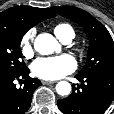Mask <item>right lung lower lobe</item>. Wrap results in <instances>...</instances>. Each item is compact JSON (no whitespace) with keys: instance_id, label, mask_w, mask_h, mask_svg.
Masks as SVG:
<instances>
[{"instance_id":"obj_1","label":"right lung lower lobe","mask_w":114,"mask_h":114,"mask_svg":"<svg viewBox=\"0 0 114 114\" xmlns=\"http://www.w3.org/2000/svg\"><path fill=\"white\" fill-rule=\"evenodd\" d=\"M24 85L16 87L15 80ZM41 85L38 79L29 77L26 67L20 73L0 78V114H25L30 108L32 94Z\"/></svg>"}]
</instances>
